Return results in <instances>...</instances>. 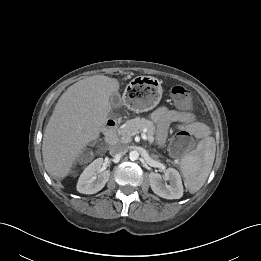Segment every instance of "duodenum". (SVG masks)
I'll return each instance as SVG.
<instances>
[{"mask_svg":"<svg viewBox=\"0 0 261 261\" xmlns=\"http://www.w3.org/2000/svg\"><path fill=\"white\" fill-rule=\"evenodd\" d=\"M117 122L109 118L104 126V135L109 146H114L117 143Z\"/></svg>","mask_w":261,"mask_h":261,"instance_id":"duodenum-1","label":"duodenum"}]
</instances>
